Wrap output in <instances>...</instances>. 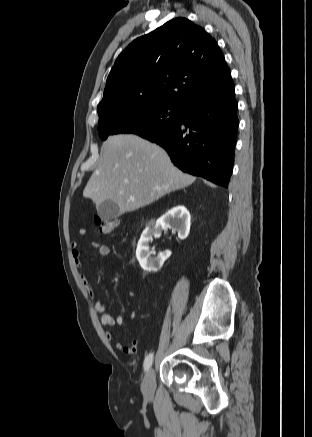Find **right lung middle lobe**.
Listing matches in <instances>:
<instances>
[{"label": "right lung middle lobe", "mask_w": 312, "mask_h": 437, "mask_svg": "<svg viewBox=\"0 0 312 437\" xmlns=\"http://www.w3.org/2000/svg\"><path fill=\"white\" fill-rule=\"evenodd\" d=\"M182 107L167 103H135L114 109L99 118L102 140L119 133L137 134L143 138L159 134L179 122Z\"/></svg>", "instance_id": "1"}]
</instances>
